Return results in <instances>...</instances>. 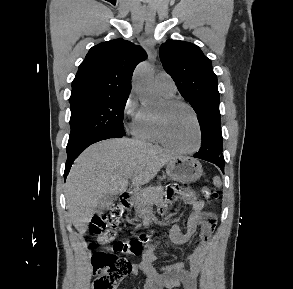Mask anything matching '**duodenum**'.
<instances>
[{
	"label": "duodenum",
	"instance_id": "obj_1",
	"mask_svg": "<svg viewBox=\"0 0 293 289\" xmlns=\"http://www.w3.org/2000/svg\"><path fill=\"white\" fill-rule=\"evenodd\" d=\"M133 194L131 192H124L120 196V204L127 208L131 205Z\"/></svg>",
	"mask_w": 293,
	"mask_h": 289
}]
</instances>
